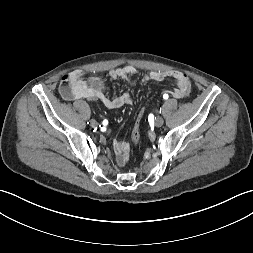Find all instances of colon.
Here are the masks:
<instances>
[{
    "instance_id": "colon-1",
    "label": "colon",
    "mask_w": 253,
    "mask_h": 253,
    "mask_svg": "<svg viewBox=\"0 0 253 253\" xmlns=\"http://www.w3.org/2000/svg\"><path fill=\"white\" fill-rule=\"evenodd\" d=\"M146 108H147L146 105L143 104L141 105V107H139V109L136 112L138 118L134 124L132 131V140L134 144H138L140 140L142 120L145 118V115L147 114Z\"/></svg>"
}]
</instances>
